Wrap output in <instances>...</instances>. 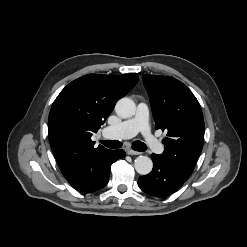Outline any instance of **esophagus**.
<instances>
[{"mask_svg":"<svg viewBox=\"0 0 247 247\" xmlns=\"http://www.w3.org/2000/svg\"><path fill=\"white\" fill-rule=\"evenodd\" d=\"M127 154H129V155H139L141 153L138 152V151L132 150V149H127Z\"/></svg>","mask_w":247,"mask_h":247,"instance_id":"obj_1","label":"esophagus"}]
</instances>
